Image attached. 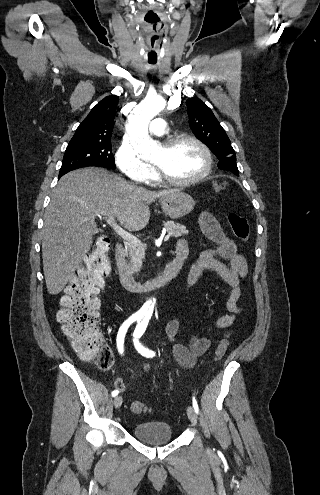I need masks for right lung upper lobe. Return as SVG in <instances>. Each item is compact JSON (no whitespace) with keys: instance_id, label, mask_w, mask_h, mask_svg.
Wrapping results in <instances>:
<instances>
[{"instance_id":"1","label":"right lung upper lobe","mask_w":320,"mask_h":495,"mask_svg":"<svg viewBox=\"0 0 320 495\" xmlns=\"http://www.w3.org/2000/svg\"><path fill=\"white\" fill-rule=\"evenodd\" d=\"M118 96L105 97L78 126L70 143H111Z\"/></svg>"}]
</instances>
